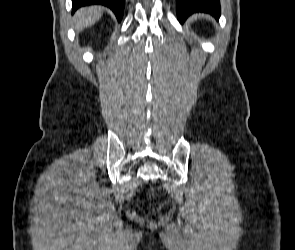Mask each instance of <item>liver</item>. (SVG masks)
<instances>
[{"mask_svg": "<svg viewBox=\"0 0 295 250\" xmlns=\"http://www.w3.org/2000/svg\"><path fill=\"white\" fill-rule=\"evenodd\" d=\"M103 9L99 6H89L79 9L74 15L75 29L77 32L94 25L102 16Z\"/></svg>", "mask_w": 295, "mask_h": 250, "instance_id": "1", "label": "liver"}]
</instances>
